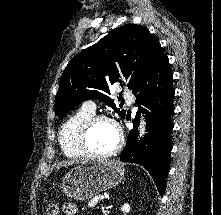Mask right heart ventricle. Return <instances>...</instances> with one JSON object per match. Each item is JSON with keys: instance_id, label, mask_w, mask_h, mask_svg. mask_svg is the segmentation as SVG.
Wrapping results in <instances>:
<instances>
[{"instance_id": "obj_1", "label": "right heart ventricle", "mask_w": 221, "mask_h": 215, "mask_svg": "<svg viewBox=\"0 0 221 215\" xmlns=\"http://www.w3.org/2000/svg\"><path fill=\"white\" fill-rule=\"evenodd\" d=\"M94 115V112L80 108L62 125L59 132V142L64 154L68 157H81L84 152L78 144V135L83 124Z\"/></svg>"}]
</instances>
